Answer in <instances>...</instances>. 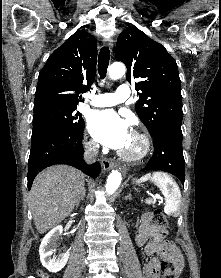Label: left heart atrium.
Returning a JSON list of instances; mask_svg holds the SVG:
<instances>
[{
  "label": "left heart atrium",
  "mask_w": 221,
  "mask_h": 278,
  "mask_svg": "<svg viewBox=\"0 0 221 278\" xmlns=\"http://www.w3.org/2000/svg\"><path fill=\"white\" fill-rule=\"evenodd\" d=\"M88 129L96 141L113 149H123L131 137L128 122L113 110L93 112Z\"/></svg>",
  "instance_id": "39dd6f15"
}]
</instances>
